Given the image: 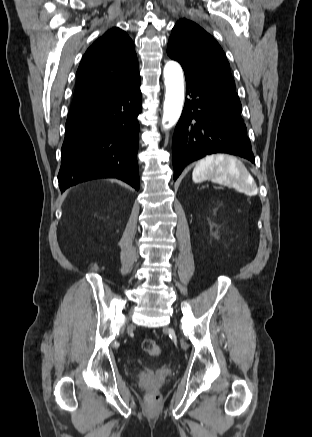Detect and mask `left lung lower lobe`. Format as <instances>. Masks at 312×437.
<instances>
[{
	"label": "left lung lower lobe",
	"instance_id": "left-lung-lower-lobe-1",
	"mask_svg": "<svg viewBox=\"0 0 312 437\" xmlns=\"http://www.w3.org/2000/svg\"><path fill=\"white\" fill-rule=\"evenodd\" d=\"M186 78V104L175 128L174 180L183 168L206 155L228 153L255 163L241 108L219 92Z\"/></svg>",
	"mask_w": 312,
	"mask_h": 437
}]
</instances>
